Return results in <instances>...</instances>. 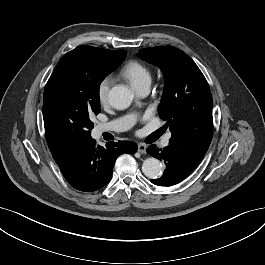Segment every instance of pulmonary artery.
Instances as JSON below:
<instances>
[{
	"label": "pulmonary artery",
	"instance_id": "obj_1",
	"mask_svg": "<svg viewBox=\"0 0 265 265\" xmlns=\"http://www.w3.org/2000/svg\"><path fill=\"white\" fill-rule=\"evenodd\" d=\"M136 92L144 97L149 93V86H143L139 89L136 90ZM135 122V117L132 115H128L116 120H113L111 122L105 123V124H100L97 126L96 131L98 134H101L103 132H121L128 130ZM169 144V137H166L162 145L163 146H168Z\"/></svg>",
	"mask_w": 265,
	"mask_h": 265
}]
</instances>
